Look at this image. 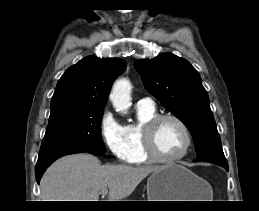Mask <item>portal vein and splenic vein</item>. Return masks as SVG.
<instances>
[{
  "label": "portal vein and splenic vein",
  "instance_id": "1",
  "mask_svg": "<svg viewBox=\"0 0 259 211\" xmlns=\"http://www.w3.org/2000/svg\"><path fill=\"white\" fill-rule=\"evenodd\" d=\"M107 193H108V191H107V190H102V191L100 192V194H101L102 196L107 195Z\"/></svg>",
  "mask_w": 259,
  "mask_h": 211
}]
</instances>
